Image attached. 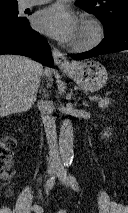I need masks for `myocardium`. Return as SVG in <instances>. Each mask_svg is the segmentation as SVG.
I'll return each mask as SVG.
<instances>
[{
  "label": "myocardium",
  "instance_id": "f54148a6",
  "mask_svg": "<svg viewBox=\"0 0 128 213\" xmlns=\"http://www.w3.org/2000/svg\"><path fill=\"white\" fill-rule=\"evenodd\" d=\"M81 25L90 29V36L81 42H74L72 49L75 51H87L96 47L103 38V26L101 22L91 15H84L81 19Z\"/></svg>",
  "mask_w": 128,
  "mask_h": 213
}]
</instances>
